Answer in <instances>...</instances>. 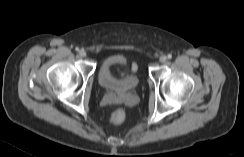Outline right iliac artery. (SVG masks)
I'll list each match as a JSON object with an SVG mask.
<instances>
[{"mask_svg": "<svg viewBox=\"0 0 244 157\" xmlns=\"http://www.w3.org/2000/svg\"><path fill=\"white\" fill-rule=\"evenodd\" d=\"M76 51H79V48H76Z\"/></svg>", "mask_w": 244, "mask_h": 157, "instance_id": "82829eb1", "label": "right iliac artery"}]
</instances>
